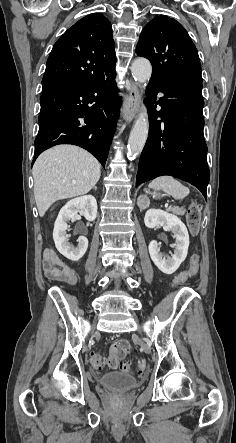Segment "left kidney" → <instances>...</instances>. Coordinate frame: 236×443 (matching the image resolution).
I'll use <instances>...</instances> for the list:
<instances>
[{
  "mask_svg": "<svg viewBox=\"0 0 236 443\" xmlns=\"http://www.w3.org/2000/svg\"><path fill=\"white\" fill-rule=\"evenodd\" d=\"M146 227L155 228L159 226L167 227L173 234L175 241V250L171 257L160 252L156 240L149 243V253L152 261L165 274L174 273L185 260L189 247V234L185 224L173 214H169L160 209H149L144 218Z\"/></svg>",
  "mask_w": 236,
  "mask_h": 443,
  "instance_id": "5707ae66",
  "label": "left kidney"
}]
</instances>
